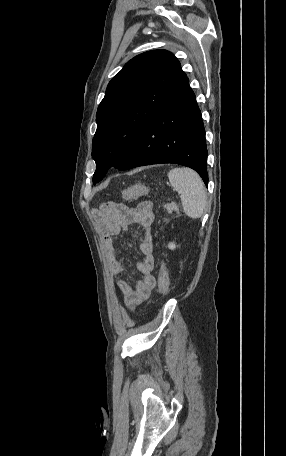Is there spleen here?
I'll return each mask as SVG.
<instances>
[{
  "label": "spleen",
  "instance_id": "obj_1",
  "mask_svg": "<svg viewBox=\"0 0 286 456\" xmlns=\"http://www.w3.org/2000/svg\"><path fill=\"white\" fill-rule=\"evenodd\" d=\"M169 182L180 194L185 214L200 218L207 206V192L201 177L189 168H174L168 172Z\"/></svg>",
  "mask_w": 286,
  "mask_h": 456
}]
</instances>
